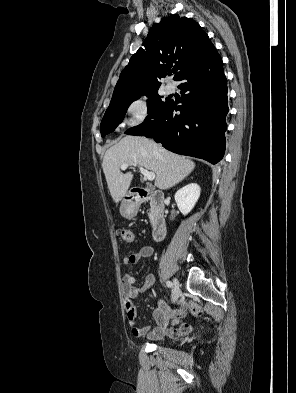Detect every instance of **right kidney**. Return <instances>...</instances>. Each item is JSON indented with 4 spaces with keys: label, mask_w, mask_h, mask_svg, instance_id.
Wrapping results in <instances>:
<instances>
[{
    "label": "right kidney",
    "mask_w": 296,
    "mask_h": 393,
    "mask_svg": "<svg viewBox=\"0 0 296 393\" xmlns=\"http://www.w3.org/2000/svg\"><path fill=\"white\" fill-rule=\"evenodd\" d=\"M200 191L198 184L190 183L176 192L175 201L183 215H187L193 209L199 199Z\"/></svg>",
    "instance_id": "right-kidney-1"
}]
</instances>
